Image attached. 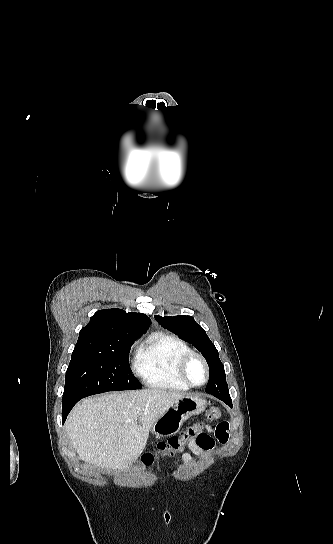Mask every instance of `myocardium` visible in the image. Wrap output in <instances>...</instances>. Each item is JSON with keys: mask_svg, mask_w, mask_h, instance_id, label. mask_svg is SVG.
<instances>
[{"mask_svg": "<svg viewBox=\"0 0 333 544\" xmlns=\"http://www.w3.org/2000/svg\"><path fill=\"white\" fill-rule=\"evenodd\" d=\"M195 359L199 360L203 364L206 371V378L204 382L201 384L193 383L188 377V367L190 363ZM177 375L179 379L188 387L199 388L208 383L210 379V367L206 359L201 354L191 351L185 354L184 356H182L181 359L179 360L177 365Z\"/></svg>", "mask_w": 333, "mask_h": 544, "instance_id": "1", "label": "myocardium"}]
</instances>
